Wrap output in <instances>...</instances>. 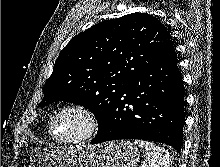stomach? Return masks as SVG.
Wrapping results in <instances>:
<instances>
[{
	"label": "stomach",
	"mask_w": 220,
	"mask_h": 167,
	"mask_svg": "<svg viewBox=\"0 0 220 167\" xmlns=\"http://www.w3.org/2000/svg\"><path fill=\"white\" fill-rule=\"evenodd\" d=\"M29 167H136L138 149L129 141L117 140L89 147H67L45 151L37 147L30 154Z\"/></svg>",
	"instance_id": "1"
}]
</instances>
